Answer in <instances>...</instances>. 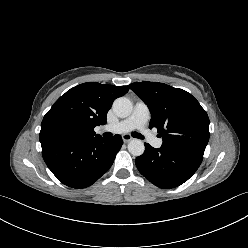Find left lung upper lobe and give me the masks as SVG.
<instances>
[{"label":"left lung upper lobe","instance_id":"obj_1","mask_svg":"<svg viewBox=\"0 0 248 248\" xmlns=\"http://www.w3.org/2000/svg\"><path fill=\"white\" fill-rule=\"evenodd\" d=\"M129 87L151 112L149 128L156 127L161 147L203 157L209 140V118L188 92L158 82L132 83Z\"/></svg>","mask_w":248,"mask_h":248}]
</instances>
